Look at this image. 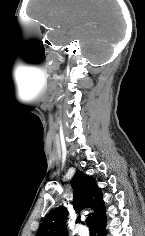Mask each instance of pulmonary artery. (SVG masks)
<instances>
[{"label":"pulmonary artery","mask_w":145,"mask_h":236,"mask_svg":"<svg viewBox=\"0 0 145 236\" xmlns=\"http://www.w3.org/2000/svg\"><path fill=\"white\" fill-rule=\"evenodd\" d=\"M79 236H89V230L85 226H80L78 229Z\"/></svg>","instance_id":"1"}]
</instances>
